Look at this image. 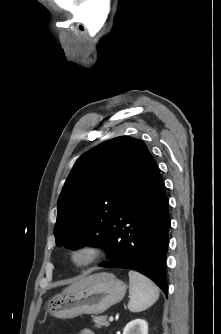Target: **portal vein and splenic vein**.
Returning <instances> with one entry per match:
<instances>
[{
  "label": "portal vein and splenic vein",
  "mask_w": 221,
  "mask_h": 334,
  "mask_svg": "<svg viewBox=\"0 0 221 334\" xmlns=\"http://www.w3.org/2000/svg\"><path fill=\"white\" fill-rule=\"evenodd\" d=\"M114 320L113 316L109 317V321L112 322Z\"/></svg>",
  "instance_id": "portal-vein-and-splenic-vein-1"
}]
</instances>
